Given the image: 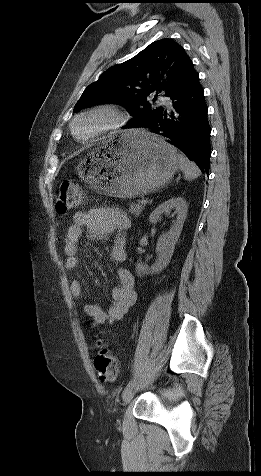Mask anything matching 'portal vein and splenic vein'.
Instances as JSON below:
<instances>
[{
	"mask_svg": "<svg viewBox=\"0 0 261 476\" xmlns=\"http://www.w3.org/2000/svg\"><path fill=\"white\" fill-rule=\"evenodd\" d=\"M141 203H142V204H147V203H148V199H147V198L143 199V200L141 201Z\"/></svg>",
	"mask_w": 261,
	"mask_h": 476,
	"instance_id": "1",
	"label": "portal vein and splenic vein"
}]
</instances>
